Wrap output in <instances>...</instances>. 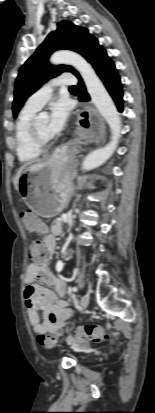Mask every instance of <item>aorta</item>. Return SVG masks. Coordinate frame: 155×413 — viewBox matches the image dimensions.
<instances>
[{
    "label": "aorta",
    "instance_id": "1",
    "mask_svg": "<svg viewBox=\"0 0 155 413\" xmlns=\"http://www.w3.org/2000/svg\"><path fill=\"white\" fill-rule=\"evenodd\" d=\"M50 61L52 64H69L82 76L92 102L111 129V141L104 147L88 154L82 163V170L89 171L105 163L115 151L121 137V118L115 104L93 67L78 53L68 50L55 52ZM41 113L39 118H45Z\"/></svg>",
    "mask_w": 155,
    "mask_h": 413
}]
</instances>
